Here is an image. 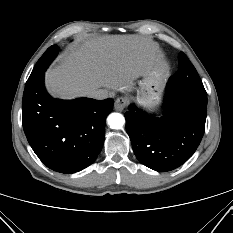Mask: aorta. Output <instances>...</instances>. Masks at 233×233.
<instances>
[{"mask_svg":"<svg viewBox=\"0 0 233 233\" xmlns=\"http://www.w3.org/2000/svg\"><path fill=\"white\" fill-rule=\"evenodd\" d=\"M108 125L112 129H121L124 126L125 118L120 113H111L108 118Z\"/></svg>","mask_w":233,"mask_h":233,"instance_id":"obj_1","label":"aorta"}]
</instances>
